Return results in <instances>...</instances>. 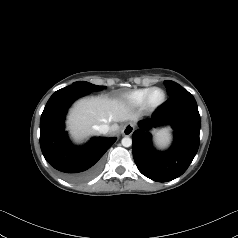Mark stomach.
<instances>
[{
	"mask_svg": "<svg viewBox=\"0 0 238 238\" xmlns=\"http://www.w3.org/2000/svg\"><path fill=\"white\" fill-rule=\"evenodd\" d=\"M154 133H155L156 135H159V134L161 133V130H155Z\"/></svg>",
	"mask_w": 238,
	"mask_h": 238,
	"instance_id": "0dacf381",
	"label": "stomach"
}]
</instances>
